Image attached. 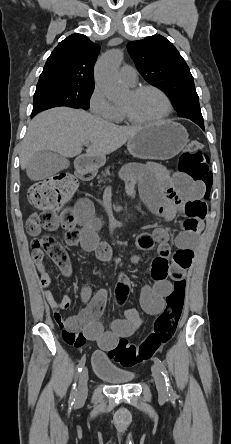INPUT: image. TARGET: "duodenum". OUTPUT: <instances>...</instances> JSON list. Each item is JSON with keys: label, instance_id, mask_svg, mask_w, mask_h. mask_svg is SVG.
Returning <instances> with one entry per match:
<instances>
[{"label": "duodenum", "instance_id": "410a0bca", "mask_svg": "<svg viewBox=\"0 0 231 444\" xmlns=\"http://www.w3.org/2000/svg\"><path fill=\"white\" fill-rule=\"evenodd\" d=\"M90 174H91V171H89V170H84L81 172V175H83V176H88Z\"/></svg>", "mask_w": 231, "mask_h": 444}]
</instances>
